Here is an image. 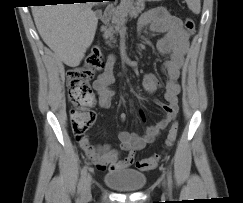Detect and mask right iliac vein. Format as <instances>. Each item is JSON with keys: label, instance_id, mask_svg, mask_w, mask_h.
<instances>
[{"label": "right iliac vein", "instance_id": "63e3f726", "mask_svg": "<svg viewBox=\"0 0 243 203\" xmlns=\"http://www.w3.org/2000/svg\"><path fill=\"white\" fill-rule=\"evenodd\" d=\"M91 181L92 178L90 175L87 176L86 178V182H85V188H84V195L87 196L90 194V190H91Z\"/></svg>", "mask_w": 243, "mask_h": 203}]
</instances>
